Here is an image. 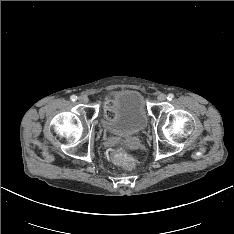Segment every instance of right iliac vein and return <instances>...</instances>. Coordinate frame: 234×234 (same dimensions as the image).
Wrapping results in <instances>:
<instances>
[{
  "mask_svg": "<svg viewBox=\"0 0 234 234\" xmlns=\"http://www.w3.org/2000/svg\"><path fill=\"white\" fill-rule=\"evenodd\" d=\"M79 102L81 103H88V97L85 95H82L79 97Z\"/></svg>",
  "mask_w": 234,
  "mask_h": 234,
  "instance_id": "63e3f726",
  "label": "right iliac vein"
}]
</instances>
